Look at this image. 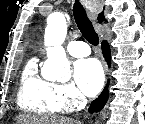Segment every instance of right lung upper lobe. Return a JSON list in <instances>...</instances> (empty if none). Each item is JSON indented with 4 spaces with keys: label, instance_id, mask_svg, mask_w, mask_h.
Masks as SVG:
<instances>
[{
    "label": "right lung upper lobe",
    "instance_id": "right-lung-upper-lobe-1",
    "mask_svg": "<svg viewBox=\"0 0 145 124\" xmlns=\"http://www.w3.org/2000/svg\"><path fill=\"white\" fill-rule=\"evenodd\" d=\"M98 20H99V22H102V21L105 20V18H104V16H103V12L99 14Z\"/></svg>",
    "mask_w": 145,
    "mask_h": 124
}]
</instances>
